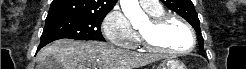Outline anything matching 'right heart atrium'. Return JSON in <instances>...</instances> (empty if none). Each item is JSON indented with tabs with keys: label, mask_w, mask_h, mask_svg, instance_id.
<instances>
[{
	"label": "right heart atrium",
	"mask_w": 246,
	"mask_h": 69,
	"mask_svg": "<svg viewBox=\"0 0 246 69\" xmlns=\"http://www.w3.org/2000/svg\"><path fill=\"white\" fill-rule=\"evenodd\" d=\"M102 27L108 41L115 45L131 46L136 40V34L129 20L119 9H114L107 14Z\"/></svg>",
	"instance_id": "right-heart-atrium-1"
}]
</instances>
